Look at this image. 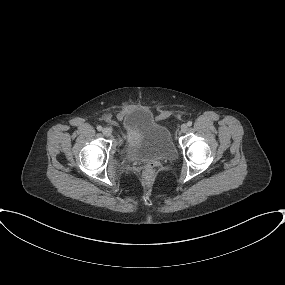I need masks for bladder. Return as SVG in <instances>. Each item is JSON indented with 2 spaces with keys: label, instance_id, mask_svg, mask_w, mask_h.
I'll return each mask as SVG.
<instances>
[{
  "label": "bladder",
  "instance_id": "bladder-1",
  "mask_svg": "<svg viewBox=\"0 0 285 285\" xmlns=\"http://www.w3.org/2000/svg\"><path fill=\"white\" fill-rule=\"evenodd\" d=\"M126 156L131 160H170L176 156L171 132L149 111L135 109L123 120Z\"/></svg>",
  "mask_w": 285,
  "mask_h": 285
}]
</instances>
